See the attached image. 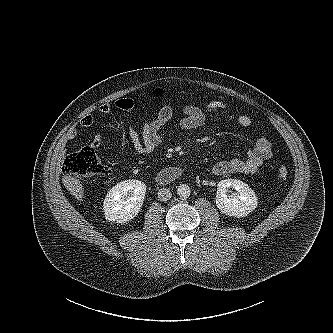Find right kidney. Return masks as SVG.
Instances as JSON below:
<instances>
[{"mask_svg":"<svg viewBox=\"0 0 333 333\" xmlns=\"http://www.w3.org/2000/svg\"><path fill=\"white\" fill-rule=\"evenodd\" d=\"M146 194V185L139 180H125L107 193L103 210L109 222L126 223L140 212Z\"/></svg>","mask_w":333,"mask_h":333,"instance_id":"right-kidney-1","label":"right kidney"}]
</instances>
